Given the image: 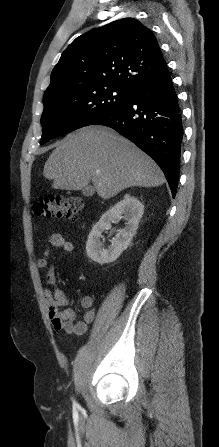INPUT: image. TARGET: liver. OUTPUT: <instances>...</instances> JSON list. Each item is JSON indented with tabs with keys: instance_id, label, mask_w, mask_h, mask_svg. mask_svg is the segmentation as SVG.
<instances>
[{
	"instance_id": "1",
	"label": "liver",
	"mask_w": 219,
	"mask_h": 447,
	"mask_svg": "<svg viewBox=\"0 0 219 447\" xmlns=\"http://www.w3.org/2000/svg\"><path fill=\"white\" fill-rule=\"evenodd\" d=\"M43 175L52 188L81 190L92 180L103 199L132 186L157 187L165 182L159 166L126 138L108 127L88 126L57 143Z\"/></svg>"
}]
</instances>
